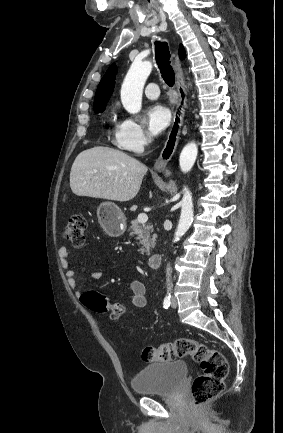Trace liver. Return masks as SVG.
<instances>
[{"mask_svg": "<svg viewBox=\"0 0 283 433\" xmlns=\"http://www.w3.org/2000/svg\"><path fill=\"white\" fill-rule=\"evenodd\" d=\"M147 170L145 164L122 150L93 146L76 156L70 170V186L77 196L123 202L136 196Z\"/></svg>", "mask_w": 283, "mask_h": 433, "instance_id": "1", "label": "liver"}]
</instances>
